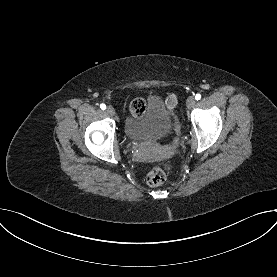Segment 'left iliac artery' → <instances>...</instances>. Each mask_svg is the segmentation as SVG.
Returning <instances> with one entry per match:
<instances>
[{"label":"left iliac artery","mask_w":277,"mask_h":277,"mask_svg":"<svg viewBox=\"0 0 277 277\" xmlns=\"http://www.w3.org/2000/svg\"><path fill=\"white\" fill-rule=\"evenodd\" d=\"M195 99L196 100H200L201 99V95L200 94H196Z\"/></svg>","instance_id":"1"}]
</instances>
